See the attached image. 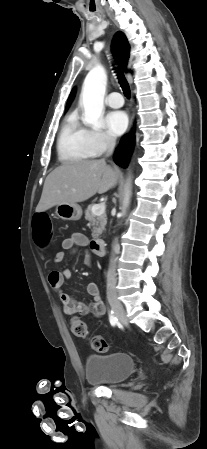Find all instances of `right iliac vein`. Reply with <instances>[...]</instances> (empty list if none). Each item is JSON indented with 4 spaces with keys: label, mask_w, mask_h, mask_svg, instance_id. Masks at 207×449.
I'll return each instance as SVG.
<instances>
[{
    "label": "right iliac vein",
    "mask_w": 207,
    "mask_h": 449,
    "mask_svg": "<svg viewBox=\"0 0 207 449\" xmlns=\"http://www.w3.org/2000/svg\"><path fill=\"white\" fill-rule=\"evenodd\" d=\"M109 303H110L116 317L119 319V321L121 323H123L124 325H127L128 319L126 316L125 309H124L123 305L121 304V302H119L115 297L110 296Z\"/></svg>",
    "instance_id": "63e3f726"
}]
</instances>
